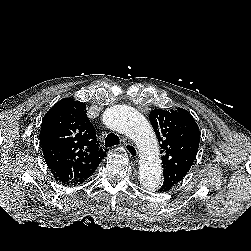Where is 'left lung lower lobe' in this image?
<instances>
[{
  "label": "left lung lower lobe",
  "instance_id": "left-lung-lower-lobe-1",
  "mask_svg": "<svg viewBox=\"0 0 251 251\" xmlns=\"http://www.w3.org/2000/svg\"><path fill=\"white\" fill-rule=\"evenodd\" d=\"M163 184L161 183V187L159 189L160 192H166L168 190H170L171 188L169 187V185H165L163 188Z\"/></svg>",
  "mask_w": 251,
  "mask_h": 251
}]
</instances>
